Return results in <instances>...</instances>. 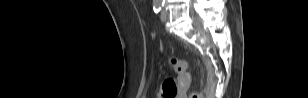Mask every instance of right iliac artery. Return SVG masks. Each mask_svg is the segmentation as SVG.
Returning <instances> with one entry per match:
<instances>
[{
    "mask_svg": "<svg viewBox=\"0 0 308 98\" xmlns=\"http://www.w3.org/2000/svg\"><path fill=\"white\" fill-rule=\"evenodd\" d=\"M162 6H163V4L157 2V3L154 4L153 9L156 13H158L161 10Z\"/></svg>",
    "mask_w": 308,
    "mask_h": 98,
    "instance_id": "right-iliac-artery-1",
    "label": "right iliac artery"
}]
</instances>
